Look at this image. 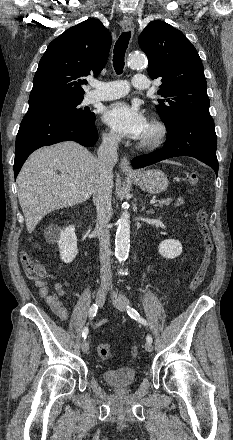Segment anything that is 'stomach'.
Returning a JSON list of instances; mask_svg holds the SVG:
<instances>
[{
    "instance_id": "stomach-1",
    "label": "stomach",
    "mask_w": 233,
    "mask_h": 440,
    "mask_svg": "<svg viewBox=\"0 0 233 440\" xmlns=\"http://www.w3.org/2000/svg\"><path fill=\"white\" fill-rule=\"evenodd\" d=\"M128 177L151 194L165 191L169 184L166 175L158 169L142 171L135 176L128 175Z\"/></svg>"
}]
</instances>
